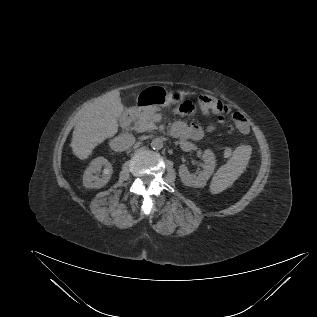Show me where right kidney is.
I'll return each instance as SVG.
<instances>
[{
  "mask_svg": "<svg viewBox=\"0 0 317 317\" xmlns=\"http://www.w3.org/2000/svg\"><path fill=\"white\" fill-rule=\"evenodd\" d=\"M102 170V175L99 172ZM112 165L104 157L95 158L85 170L83 175V186L86 188H101L110 180Z\"/></svg>",
  "mask_w": 317,
  "mask_h": 317,
  "instance_id": "1",
  "label": "right kidney"
}]
</instances>
